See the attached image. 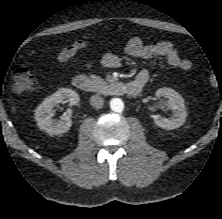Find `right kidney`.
I'll return each instance as SVG.
<instances>
[{
	"label": "right kidney",
	"instance_id": "1",
	"mask_svg": "<svg viewBox=\"0 0 222 219\" xmlns=\"http://www.w3.org/2000/svg\"><path fill=\"white\" fill-rule=\"evenodd\" d=\"M64 100L68 101L71 106L76 105L80 97L72 89L61 88L54 94L47 97L35 110V120L40 130L49 135H59L67 132L72 126L71 110H67L60 120L53 119V109Z\"/></svg>",
	"mask_w": 222,
	"mask_h": 219
}]
</instances>
